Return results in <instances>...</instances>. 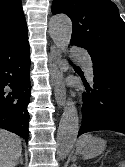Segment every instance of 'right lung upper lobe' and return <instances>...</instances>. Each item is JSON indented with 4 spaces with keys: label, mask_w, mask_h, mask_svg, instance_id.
Instances as JSON below:
<instances>
[{
    "label": "right lung upper lobe",
    "mask_w": 125,
    "mask_h": 167,
    "mask_svg": "<svg viewBox=\"0 0 125 167\" xmlns=\"http://www.w3.org/2000/svg\"><path fill=\"white\" fill-rule=\"evenodd\" d=\"M27 37L21 0H0V46Z\"/></svg>",
    "instance_id": "obj_1"
}]
</instances>
